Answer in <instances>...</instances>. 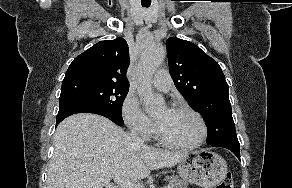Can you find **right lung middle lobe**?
Listing matches in <instances>:
<instances>
[{"label":"right lung middle lobe","instance_id":"dd1d6c3e","mask_svg":"<svg viewBox=\"0 0 292 188\" xmlns=\"http://www.w3.org/2000/svg\"><path fill=\"white\" fill-rule=\"evenodd\" d=\"M129 86L112 82L75 78L63 80L59 105L82 103L117 118H122L121 109Z\"/></svg>","mask_w":292,"mask_h":188}]
</instances>
